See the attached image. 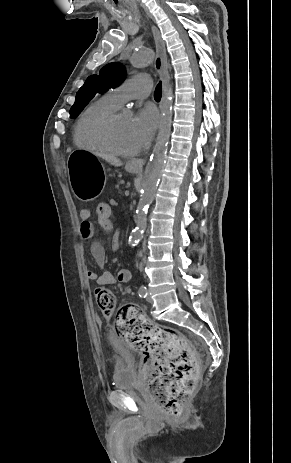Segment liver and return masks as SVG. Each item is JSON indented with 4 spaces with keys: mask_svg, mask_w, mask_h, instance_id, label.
<instances>
[{
    "mask_svg": "<svg viewBox=\"0 0 291 463\" xmlns=\"http://www.w3.org/2000/svg\"><path fill=\"white\" fill-rule=\"evenodd\" d=\"M97 156L101 157L102 159L106 160L111 165L119 167L122 165V162L115 156L106 153H96Z\"/></svg>",
    "mask_w": 291,
    "mask_h": 463,
    "instance_id": "obj_1",
    "label": "liver"
}]
</instances>
